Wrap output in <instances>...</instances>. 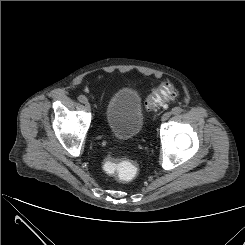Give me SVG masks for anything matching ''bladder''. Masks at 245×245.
Instances as JSON below:
<instances>
[{"mask_svg": "<svg viewBox=\"0 0 245 245\" xmlns=\"http://www.w3.org/2000/svg\"><path fill=\"white\" fill-rule=\"evenodd\" d=\"M104 119L115 136L123 139L138 136L145 123L140 94L132 88L115 92L106 106Z\"/></svg>", "mask_w": 245, "mask_h": 245, "instance_id": "obj_1", "label": "bladder"}]
</instances>
